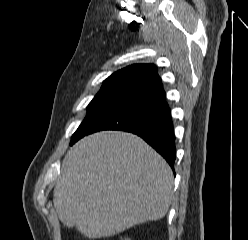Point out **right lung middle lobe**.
Segmentation results:
<instances>
[{"instance_id":"right-lung-middle-lobe-1","label":"right lung middle lobe","mask_w":248,"mask_h":240,"mask_svg":"<svg viewBox=\"0 0 248 240\" xmlns=\"http://www.w3.org/2000/svg\"><path fill=\"white\" fill-rule=\"evenodd\" d=\"M133 97L112 92L99 91L87 107V115L79 128L73 134L71 144L83 137L91 128L105 117L135 103Z\"/></svg>"}]
</instances>
